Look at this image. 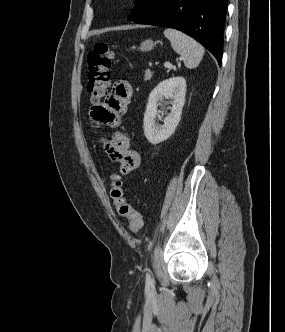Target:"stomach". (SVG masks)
Returning <instances> with one entry per match:
<instances>
[{"mask_svg": "<svg viewBox=\"0 0 285 332\" xmlns=\"http://www.w3.org/2000/svg\"><path fill=\"white\" fill-rule=\"evenodd\" d=\"M155 42L152 39H147L141 43L140 50L141 51H150L154 48Z\"/></svg>", "mask_w": 285, "mask_h": 332, "instance_id": "0dacf381", "label": "stomach"}]
</instances>
